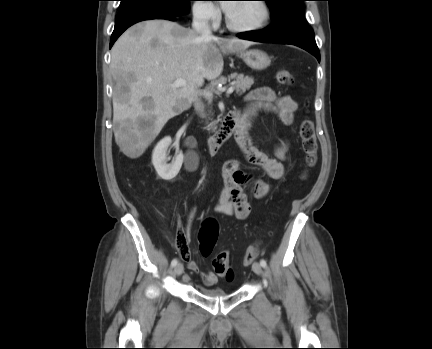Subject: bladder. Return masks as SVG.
I'll list each match as a JSON object with an SVG mask.
<instances>
[{"label":"bladder","instance_id":"obj_1","mask_svg":"<svg viewBox=\"0 0 432 349\" xmlns=\"http://www.w3.org/2000/svg\"><path fill=\"white\" fill-rule=\"evenodd\" d=\"M200 291L210 297H221L226 295V291L221 288H207L201 287Z\"/></svg>","mask_w":432,"mask_h":349}]
</instances>
